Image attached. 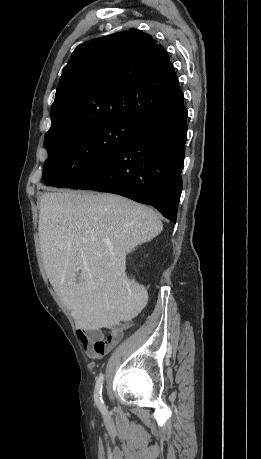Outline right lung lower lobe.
I'll return each mask as SVG.
<instances>
[{"instance_id":"1","label":"right lung lower lobe","mask_w":261,"mask_h":459,"mask_svg":"<svg viewBox=\"0 0 261 459\" xmlns=\"http://www.w3.org/2000/svg\"><path fill=\"white\" fill-rule=\"evenodd\" d=\"M186 120L182 99L166 112L143 122L120 152L71 188L119 194L152 205L176 222L182 192Z\"/></svg>"}]
</instances>
